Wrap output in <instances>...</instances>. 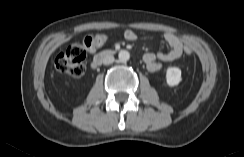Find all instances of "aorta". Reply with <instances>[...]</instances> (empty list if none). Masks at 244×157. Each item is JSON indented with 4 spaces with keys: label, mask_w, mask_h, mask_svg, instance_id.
<instances>
[{
    "label": "aorta",
    "mask_w": 244,
    "mask_h": 157,
    "mask_svg": "<svg viewBox=\"0 0 244 157\" xmlns=\"http://www.w3.org/2000/svg\"><path fill=\"white\" fill-rule=\"evenodd\" d=\"M118 58L121 62H127L130 59V53L126 50H121L118 54Z\"/></svg>",
    "instance_id": "1"
}]
</instances>
